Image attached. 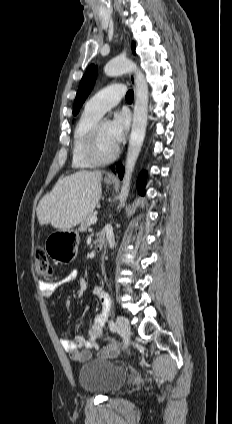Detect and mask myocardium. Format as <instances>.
Returning <instances> with one entry per match:
<instances>
[{
    "mask_svg": "<svg viewBox=\"0 0 232 424\" xmlns=\"http://www.w3.org/2000/svg\"><path fill=\"white\" fill-rule=\"evenodd\" d=\"M103 120H98L91 128L84 147L86 158L94 165H105L113 162L118 154L119 147L116 146L113 153L109 156H102L99 150V135Z\"/></svg>",
    "mask_w": 232,
    "mask_h": 424,
    "instance_id": "f54148a6",
    "label": "myocardium"
}]
</instances>
